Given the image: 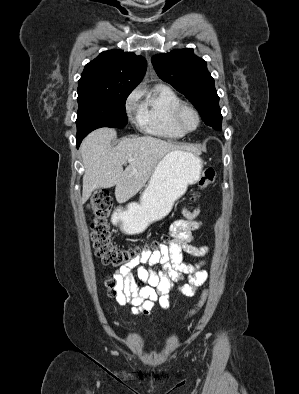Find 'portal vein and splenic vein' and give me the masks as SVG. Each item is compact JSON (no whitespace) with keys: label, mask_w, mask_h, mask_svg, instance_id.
I'll use <instances>...</instances> for the list:
<instances>
[{"label":"portal vein and splenic vein","mask_w":299,"mask_h":394,"mask_svg":"<svg viewBox=\"0 0 299 394\" xmlns=\"http://www.w3.org/2000/svg\"><path fill=\"white\" fill-rule=\"evenodd\" d=\"M128 162L131 163V162H132V159H128Z\"/></svg>","instance_id":"1"}]
</instances>
